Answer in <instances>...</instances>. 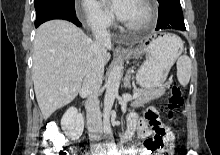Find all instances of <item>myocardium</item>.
Here are the masks:
<instances>
[{"label":"myocardium","mask_w":220,"mask_h":155,"mask_svg":"<svg viewBox=\"0 0 220 155\" xmlns=\"http://www.w3.org/2000/svg\"><path fill=\"white\" fill-rule=\"evenodd\" d=\"M137 1L144 6L146 10V17L141 23H138V24H131V23L124 22L123 25L129 30L145 29L147 26H149L153 22L155 18L156 6L153 0H137Z\"/></svg>","instance_id":"f54148a6"}]
</instances>
